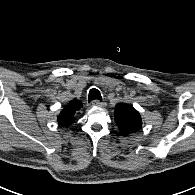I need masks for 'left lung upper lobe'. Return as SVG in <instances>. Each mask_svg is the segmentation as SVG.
Masks as SVG:
<instances>
[{"instance_id": "5c2ea615", "label": "left lung upper lobe", "mask_w": 195, "mask_h": 195, "mask_svg": "<svg viewBox=\"0 0 195 195\" xmlns=\"http://www.w3.org/2000/svg\"><path fill=\"white\" fill-rule=\"evenodd\" d=\"M114 114L115 122L123 136L135 133L142 128L141 116L131 105L118 103Z\"/></svg>"}]
</instances>
